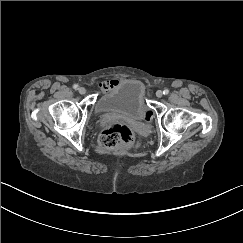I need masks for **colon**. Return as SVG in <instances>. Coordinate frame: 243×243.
<instances>
[{"label": "colon", "mask_w": 243, "mask_h": 243, "mask_svg": "<svg viewBox=\"0 0 243 243\" xmlns=\"http://www.w3.org/2000/svg\"><path fill=\"white\" fill-rule=\"evenodd\" d=\"M133 139L132 130L125 124L113 123L106 127L99 137V144L105 149H115Z\"/></svg>", "instance_id": "5ec220e1"}]
</instances>
